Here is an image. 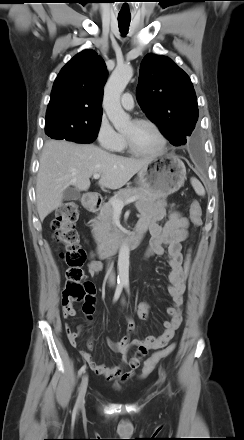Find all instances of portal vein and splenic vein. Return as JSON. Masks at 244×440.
Wrapping results in <instances>:
<instances>
[{"instance_id": "1", "label": "portal vein and splenic vein", "mask_w": 244, "mask_h": 440, "mask_svg": "<svg viewBox=\"0 0 244 440\" xmlns=\"http://www.w3.org/2000/svg\"><path fill=\"white\" fill-rule=\"evenodd\" d=\"M100 177H101L100 174H94L93 175L94 179H99ZM138 199L139 198L136 197V196L130 197V198H128L125 201H121V200H118V199H113V200H111V204H112V206H113L115 211H121L125 205L133 203V202L137 201Z\"/></svg>"}]
</instances>
